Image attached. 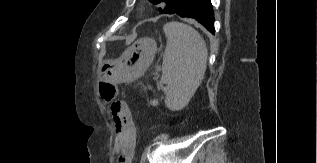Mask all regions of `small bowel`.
Segmentation results:
<instances>
[{"label": "small bowel", "mask_w": 317, "mask_h": 163, "mask_svg": "<svg viewBox=\"0 0 317 163\" xmlns=\"http://www.w3.org/2000/svg\"><path fill=\"white\" fill-rule=\"evenodd\" d=\"M112 120L116 131V144L121 148L118 161L130 163L136 145V130L124 104L118 112L112 111Z\"/></svg>", "instance_id": "1"}]
</instances>
